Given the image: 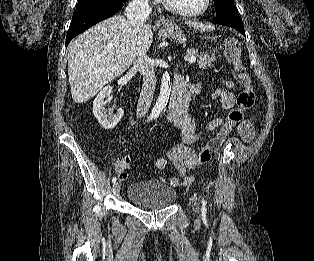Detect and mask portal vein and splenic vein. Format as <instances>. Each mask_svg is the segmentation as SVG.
<instances>
[{"label": "portal vein and splenic vein", "instance_id": "portal-vein-and-splenic-vein-1", "mask_svg": "<svg viewBox=\"0 0 314 261\" xmlns=\"http://www.w3.org/2000/svg\"><path fill=\"white\" fill-rule=\"evenodd\" d=\"M185 60H187L190 64L194 63L196 61V56H190V57H185ZM104 71V70H102Z\"/></svg>", "mask_w": 314, "mask_h": 261}]
</instances>
